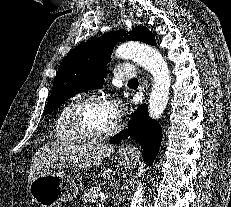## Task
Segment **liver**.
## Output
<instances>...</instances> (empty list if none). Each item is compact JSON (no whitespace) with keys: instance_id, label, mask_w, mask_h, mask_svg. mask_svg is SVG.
Listing matches in <instances>:
<instances>
[{"instance_id":"1","label":"liver","mask_w":231,"mask_h":207,"mask_svg":"<svg viewBox=\"0 0 231 207\" xmlns=\"http://www.w3.org/2000/svg\"><path fill=\"white\" fill-rule=\"evenodd\" d=\"M112 145L104 144H51L38 150L32 158L28 183L51 168L54 164L69 168H89L113 152Z\"/></svg>"}]
</instances>
